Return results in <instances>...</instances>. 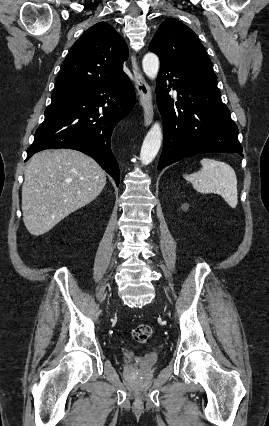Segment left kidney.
Returning a JSON list of instances; mask_svg holds the SVG:
<instances>
[{
	"instance_id": "obj_1",
	"label": "left kidney",
	"mask_w": 269,
	"mask_h": 426,
	"mask_svg": "<svg viewBox=\"0 0 269 426\" xmlns=\"http://www.w3.org/2000/svg\"><path fill=\"white\" fill-rule=\"evenodd\" d=\"M181 209H182L183 211H187V210L189 209V204H183V205L181 206Z\"/></svg>"
}]
</instances>
